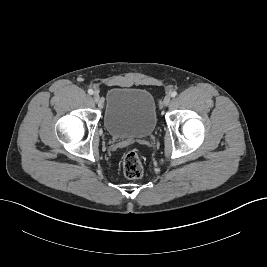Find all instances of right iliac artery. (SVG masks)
Returning a JSON list of instances; mask_svg holds the SVG:
<instances>
[{"mask_svg": "<svg viewBox=\"0 0 267 267\" xmlns=\"http://www.w3.org/2000/svg\"><path fill=\"white\" fill-rule=\"evenodd\" d=\"M94 93V91L92 89L88 90V94L92 95Z\"/></svg>", "mask_w": 267, "mask_h": 267, "instance_id": "obj_1", "label": "right iliac artery"}]
</instances>
